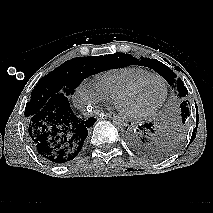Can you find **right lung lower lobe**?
Returning a JSON list of instances; mask_svg holds the SVG:
<instances>
[{"mask_svg":"<svg viewBox=\"0 0 213 213\" xmlns=\"http://www.w3.org/2000/svg\"><path fill=\"white\" fill-rule=\"evenodd\" d=\"M95 118L77 117L63 94L52 97L36 114L26 120L29 139L45 161L63 164L75 159L83 149Z\"/></svg>","mask_w":213,"mask_h":213,"instance_id":"1","label":"right lung lower lobe"}]
</instances>
